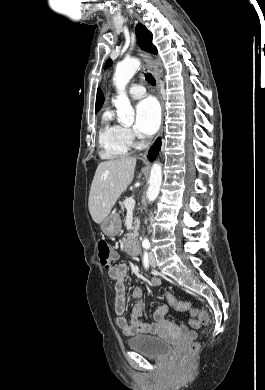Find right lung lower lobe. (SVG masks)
Returning <instances> with one entry per match:
<instances>
[{
    "mask_svg": "<svg viewBox=\"0 0 265 390\" xmlns=\"http://www.w3.org/2000/svg\"><path fill=\"white\" fill-rule=\"evenodd\" d=\"M160 147H161V139L158 138L156 140V142L154 143V145L152 146V148L150 149V151H149L148 159L150 161L155 160V158L158 155V151L160 150Z\"/></svg>",
    "mask_w": 265,
    "mask_h": 390,
    "instance_id": "right-lung-lower-lobe-1",
    "label": "right lung lower lobe"
}]
</instances>
